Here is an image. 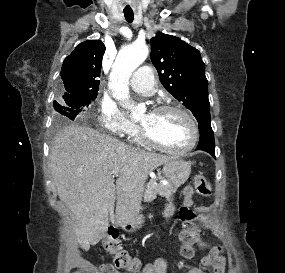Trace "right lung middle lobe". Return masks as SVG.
I'll return each mask as SVG.
<instances>
[{
    "instance_id": "right-lung-middle-lobe-1",
    "label": "right lung middle lobe",
    "mask_w": 285,
    "mask_h": 273,
    "mask_svg": "<svg viewBox=\"0 0 285 273\" xmlns=\"http://www.w3.org/2000/svg\"><path fill=\"white\" fill-rule=\"evenodd\" d=\"M98 93L62 96L58 102H54V108L58 112L56 120L64 119L74 120L81 112L86 110L89 105L96 99Z\"/></svg>"
}]
</instances>
